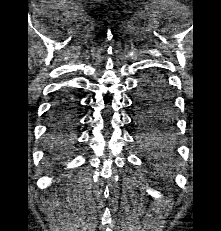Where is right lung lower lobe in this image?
<instances>
[{"label": "right lung lower lobe", "instance_id": "98d812e1", "mask_svg": "<svg viewBox=\"0 0 221 231\" xmlns=\"http://www.w3.org/2000/svg\"><path fill=\"white\" fill-rule=\"evenodd\" d=\"M58 101L63 102V103H72L74 105L77 104L76 100H75V97H73L70 92H64V93H62L60 95Z\"/></svg>", "mask_w": 221, "mask_h": 231}]
</instances>
